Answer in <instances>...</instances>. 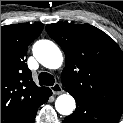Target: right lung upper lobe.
I'll use <instances>...</instances> for the list:
<instances>
[{
    "instance_id": "obj_1",
    "label": "right lung upper lobe",
    "mask_w": 123,
    "mask_h": 123,
    "mask_svg": "<svg viewBox=\"0 0 123 123\" xmlns=\"http://www.w3.org/2000/svg\"><path fill=\"white\" fill-rule=\"evenodd\" d=\"M44 26L1 27V123H21L42 103L49 88L38 87L26 64L29 44Z\"/></svg>"
}]
</instances>
